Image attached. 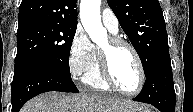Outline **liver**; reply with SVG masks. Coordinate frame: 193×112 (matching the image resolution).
Here are the masks:
<instances>
[{"label": "liver", "mask_w": 193, "mask_h": 112, "mask_svg": "<svg viewBox=\"0 0 193 112\" xmlns=\"http://www.w3.org/2000/svg\"><path fill=\"white\" fill-rule=\"evenodd\" d=\"M138 106L142 105L130 100L53 91L31 99L20 112H124Z\"/></svg>", "instance_id": "liver-1"}]
</instances>
